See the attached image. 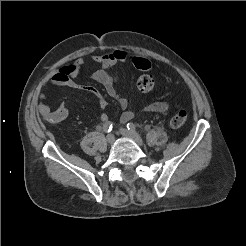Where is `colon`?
I'll list each match as a JSON object with an SVG mask.
<instances>
[{
	"instance_id": "1",
	"label": "colon",
	"mask_w": 246,
	"mask_h": 246,
	"mask_svg": "<svg viewBox=\"0 0 246 246\" xmlns=\"http://www.w3.org/2000/svg\"><path fill=\"white\" fill-rule=\"evenodd\" d=\"M131 61L133 65L142 71H148L151 68V63L148 59L142 56H132ZM155 82L150 74H143L137 80V87L142 92H150L154 89ZM188 118V114L185 110L178 111L171 119V125L174 128L183 126Z\"/></svg>"
}]
</instances>
